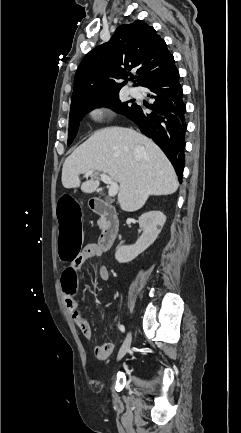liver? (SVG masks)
I'll return each instance as SVG.
<instances>
[{
	"mask_svg": "<svg viewBox=\"0 0 241 433\" xmlns=\"http://www.w3.org/2000/svg\"><path fill=\"white\" fill-rule=\"evenodd\" d=\"M139 149H136L137 147ZM88 170L107 174L119 183L122 210L140 209L151 195H169L179 186L175 170L162 150L149 138L129 128L109 127L96 131L67 157L62 168V185L93 193L99 180L81 184Z\"/></svg>",
	"mask_w": 241,
	"mask_h": 433,
	"instance_id": "obj_1",
	"label": "liver"
}]
</instances>
